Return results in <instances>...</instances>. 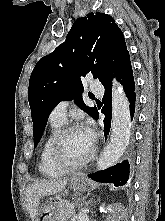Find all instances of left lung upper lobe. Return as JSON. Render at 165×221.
Segmentation results:
<instances>
[{
  "label": "left lung upper lobe",
  "mask_w": 165,
  "mask_h": 221,
  "mask_svg": "<svg viewBox=\"0 0 165 221\" xmlns=\"http://www.w3.org/2000/svg\"><path fill=\"white\" fill-rule=\"evenodd\" d=\"M128 54L124 35L110 15L89 13L77 19L66 40L38 61L30 77L28 100L35 147L49 114L63 100L74 99L94 118L97 109L82 99L81 77L91 73L103 84Z\"/></svg>",
  "instance_id": "1"
}]
</instances>
